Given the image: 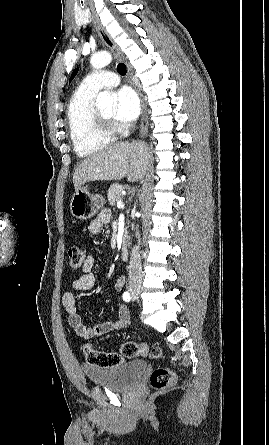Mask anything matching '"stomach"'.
<instances>
[{
  "label": "stomach",
  "mask_w": 269,
  "mask_h": 445,
  "mask_svg": "<svg viewBox=\"0 0 269 445\" xmlns=\"http://www.w3.org/2000/svg\"><path fill=\"white\" fill-rule=\"evenodd\" d=\"M105 204V200L98 194L90 193L86 187L75 191L70 201V211L79 220L93 217Z\"/></svg>",
  "instance_id": "obj_1"
}]
</instances>
